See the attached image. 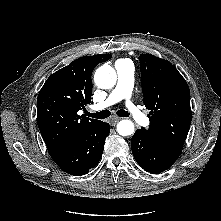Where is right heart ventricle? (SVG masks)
<instances>
[{"mask_svg": "<svg viewBox=\"0 0 221 221\" xmlns=\"http://www.w3.org/2000/svg\"><path fill=\"white\" fill-rule=\"evenodd\" d=\"M118 62H128V60H126V59H120V60H118L116 63H118Z\"/></svg>", "mask_w": 221, "mask_h": 221, "instance_id": "obj_1", "label": "right heart ventricle"}]
</instances>
